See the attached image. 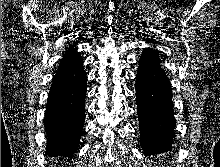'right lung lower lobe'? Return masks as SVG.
<instances>
[{"label": "right lung lower lobe", "mask_w": 220, "mask_h": 167, "mask_svg": "<svg viewBox=\"0 0 220 167\" xmlns=\"http://www.w3.org/2000/svg\"><path fill=\"white\" fill-rule=\"evenodd\" d=\"M81 63L58 69L51 85L45 113L46 154L50 157L73 158L79 146L87 88Z\"/></svg>", "instance_id": "obj_1"}]
</instances>
